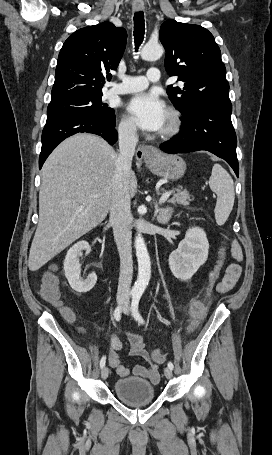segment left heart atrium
Returning a JSON list of instances; mask_svg holds the SVG:
<instances>
[{
	"mask_svg": "<svg viewBox=\"0 0 272 455\" xmlns=\"http://www.w3.org/2000/svg\"><path fill=\"white\" fill-rule=\"evenodd\" d=\"M127 111L142 130L159 132L167 120L165 103L155 93H139L127 103Z\"/></svg>",
	"mask_w": 272,
	"mask_h": 455,
	"instance_id": "1",
	"label": "left heart atrium"
}]
</instances>
